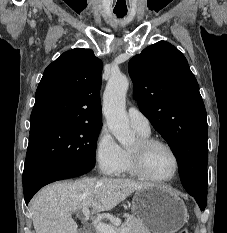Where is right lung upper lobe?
<instances>
[{
	"mask_svg": "<svg viewBox=\"0 0 227 233\" xmlns=\"http://www.w3.org/2000/svg\"><path fill=\"white\" fill-rule=\"evenodd\" d=\"M101 72L102 61L90 49L61 54L38 85L30 134L60 125L101 123Z\"/></svg>",
	"mask_w": 227,
	"mask_h": 233,
	"instance_id": "obj_1",
	"label": "right lung upper lobe"
}]
</instances>
